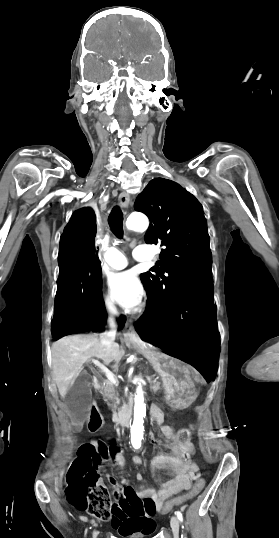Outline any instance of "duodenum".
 <instances>
[{
	"mask_svg": "<svg viewBox=\"0 0 279 538\" xmlns=\"http://www.w3.org/2000/svg\"><path fill=\"white\" fill-rule=\"evenodd\" d=\"M91 382L94 385V387H100V385L104 382V377L102 374H100L99 371L94 370L93 375L91 377ZM135 405V402L132 400V398H127V403H124L122 405V408L118 412L113 413V418H111V423H117V428H131L130 417L133 413V406ZM161 406L159 404L153 405V409H151V414L153 415H159L161 413Z\"/></svg>",
	"mask_w": 279,
	"mask_h": 538,
	"instance_id": "obj_1",
	"label": "duodenum"
}]
</instances>
